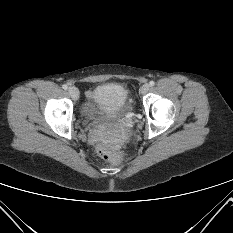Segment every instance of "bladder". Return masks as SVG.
Returning a JSON list of instances; mask_svg holds the SVG:
<instances>
[{"instance_id":"31cf9c89","label":"bladder","mask_w":233,"mask_h":233,"mask_svg":"<svg viewBox=\"0 0 233 233\" xmlns=\"http://www.w3.org/2000/svg\"><path fill=\"white\" fill-rule=\"evenodd\" d=\"M134 106L127 89L116 82L94 86L81 106V114L93 120H109L129 113Z\"/></svg>"}]
</instances>
